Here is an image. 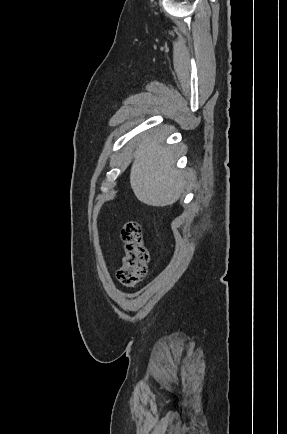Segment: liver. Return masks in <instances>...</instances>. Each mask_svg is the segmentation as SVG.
<instances>
[{"label":"liver","instance_id":"1","mask_svg":"<svg viewBox=\"0 0 287 434\" xmlns=\"http://www.w3.org/2000/svg\"><path fill=\"white\" fill-rule=\"evenodd\" d=\"M160 134L144 135L137 144L130 182L137 199L144 204L163 207L174 204L186 181L175 169L172 150L163 145Z\"/></svg>","mask_w":287,"mask_h":434}]
</instances>
